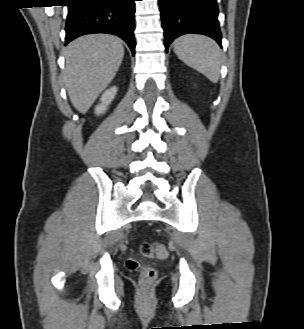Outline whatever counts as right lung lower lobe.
<instances>
[{
  "label": "right lung lower lobe",
  "instance_id": "98d812e1",
  "mask_svg": "<svg viewBox=\"0 0 304 329\" xmlns=\"http://www.w3.org/2000/svg\"><path fill=\"white\" fill-rule=\"evenodd\" d=\"M65 41L90 33L121 37L135 53V0H67Z\"/></svg>",
  "mask_w": 304,
  "mask_h": 329
}]
</instances>
